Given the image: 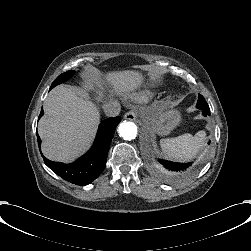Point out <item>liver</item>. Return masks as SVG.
I'll return each instance as SVG.
<instances>
[{"mask_svg":"<svg viewBox=\"0 0 251 251\" xmlns=\"http://www.w3.org/2000/svg\"><path fill=\"white\" fill-rule=\"evenodd\" d=\"M104 78L117 95L132 92L143 83L142 73L136 70L107 72ZM101 82L100 71L86 79L89 88L100 87ZM78 92L76 87L58 85L44 101L45 115L39 120L38 134L43 154L52 161H73L90 147L95 137L99 111L86 97L78 96Z\"/></svg>","mask_w":251,"mask_h":251,"instance_id":"obj_1","label":"liver"}]
</instances>
